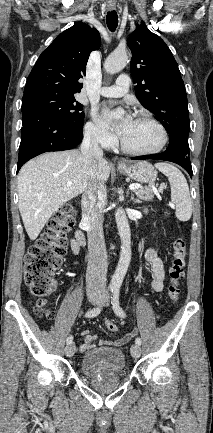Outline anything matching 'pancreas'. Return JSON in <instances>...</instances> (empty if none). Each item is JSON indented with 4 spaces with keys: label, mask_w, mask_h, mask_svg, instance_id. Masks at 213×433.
<instances>
[{
    "label": "pancreas",
    "mask_w": 213,
    "mask_h": 433,
    "mask_svg": "<svg viewBox=\"0 0 213 433\" xmlns=\"http://www.w3.org/2000/svg\"><path fill=\"white\" fill-rule=\"evenodd\" d=\"M135 193L141 200L152 201L154 198L153 185L137 189L135 190Z\"/></svg>",
    "instance_id": "pancreas-1"
}]
</instances>
